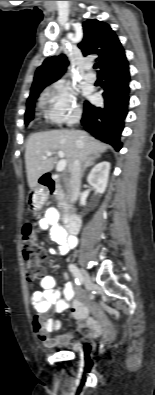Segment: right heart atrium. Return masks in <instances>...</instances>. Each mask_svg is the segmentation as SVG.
<instances>
[{
  "label": "right heart atrium",
  "mask_w": 155,
  "mask_h": 395,
  "mask_svg": "<svg viewBox=\"0 0 155 395\" xmlns=\"http://www.w3.org/2000/svg\"><path fill=\"white\" fill-rule=\"evenodd\" d=\"M46 116L54 125L71 124L81 115L76 90L65 81L53 83L46 91Z\"/></svg>",
  "instance_id": "1"
}]
</instances>
